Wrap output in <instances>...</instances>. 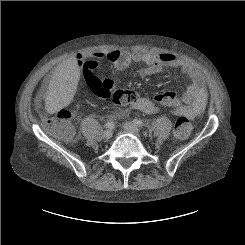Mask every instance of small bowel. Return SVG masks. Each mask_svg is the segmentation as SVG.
<instances>
[{
  "mask_svg": "<svg viewBox=\"0 0 245 245\" xmlns=\"http://www.w3.org/2000/svg\"><path fill=\"white\" fill-rule=\"evenodd\" d=\"M92 56L96 59H106L110 61L113 67L119 71L124 70L132 63H143L146 65V68L141 72L143 76L158 74L164 67L180 68L191 80V83L182 94L183 105L180 108H171V113L177 116L184 115L188 118L195 119L204 111L207 102V91L201 75L196 68L173 54H154L145 51L117 49L110 51H95ZM76 67L77 60L68 58L57 68V72L63 74L67 70H75ZM90 79L91 78H89V80ZM103 82L107 85L109 90L112 89L113 83L111 81L104 80ZM131 108L146 114H154L160 110L159 106L145 96L136 97L131 102ZM116 113L117 115H120L122 112L119 110L116 111Z\"/></svg>",
  "mask_w": 245,
  "mask_h": 245,
  "instance_id": "obj_1",
  "label": "small bowel"
}]
</instances>
